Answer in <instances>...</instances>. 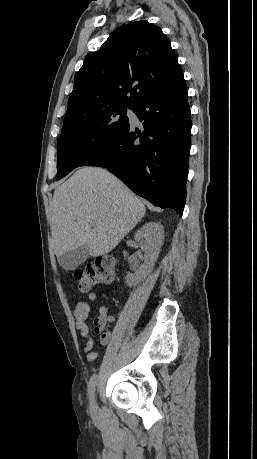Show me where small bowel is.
Here are the masks:
<instances>
[{
	"mask_svg": "<svg viewBox=\"0 0 257 459\" xmlns=\"http://www.w3.org/2000/svg\"><path fill=\"white\" fill-rule=\"evenodd\" d=\"M97 300L95 292L87 294V301H80L74 309L75 328L84 338L85 344L83 351L86 354L88 362H94L98 357V352L94 350V339L90 335L89 327L86 323L87 318L91 314V303ZM114 321L113 316L109 315V306L103 304L99 307V315L94 319V331L100 334V342L102 345H107L111 339L109 330L110 324Z\"/></svg>",
	"mask_w": 257,
	"mask_h": 459,
	"instance_id": "c3829d8e",
	"label": "small bowel"
}]
</instances>
